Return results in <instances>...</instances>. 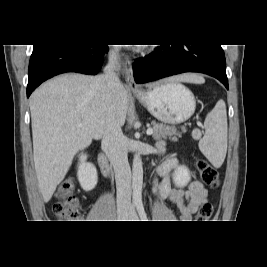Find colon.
<instances>
[{"instance_id":"obj_1","label":"colon","mask_w":267,"mask_h":267,"mask_svg":"<svg viewBox=\"0 0 267 267\" xmlns=\"http://www.w3.org/2000/svg\"><path fill=\"white\" fill-rule=\"evenodd\" d=\"M197 170L202 181L209 187L215 188L219 185L220 177L217 170L204 160H197ZM74 185L65 180L59 186L57 202L53 205L54 215L63 222H73L81 217L80 201L73 195ZM213 205L210 202L203 203L198 211V222H208L213 215Z\"/></svg>"}]
</instances>
